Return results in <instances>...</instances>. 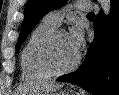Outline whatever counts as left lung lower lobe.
I'll list each match as a JSON object with an SVG mask.
<instances>
[{"mask_svg":"<svg viewBox=\"0 0 119 95\" xmlns=\"http://www.w3.org/2000/svg\"><path fill=\"white\" fill-rule=\"evenodd\" d=\"M94 41L77 71L57 81L72 82L94 95H119V0H111L108 18L94 20Z\"/></svg>","mask_w":119,"mask_h":95,"instance_id":"1","label":"left lung lower lobe"}]
</instances>
